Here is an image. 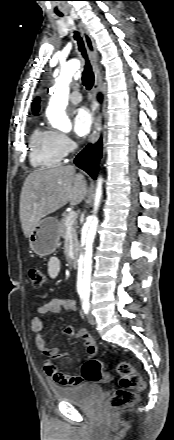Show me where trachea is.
<instances>
[{
  "label": "trachea",
  "instance_id": "obj_1",
  "mask_svg": "<svg viewBox=\"0 0 174 440\" xmlns=\"http://www.w3.org/2000/svg\"><path fill=\"white\" fill-rule=\"evenodd\" d=\"M74 39L77 40L79 51L81 52L82 56L86 60V65H85V68L83 71V76H82V82H83L84 86L86 87V89L90 90L94 84V74L92 72L90 63L87 59V55H86V51L84 48L82 38L79 36V34L77 32L74 33Z\"/></svg>",
  "mask_w": 174,
  "mask_h": 440
}]
</instances>
